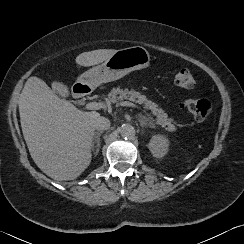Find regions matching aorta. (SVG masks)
<instances>
[{
	"label": "aorta",
	"instance_id": "1",
	"mask_svg": "<svg viewBox=\"0 0 244 244\" xmlns=\"http://www.w3.org/2000/svg\"><path fill=\"white\" fill-rule=\"evenodd\" d=\"M119 132L123 138H130L135 135V129L130 124H124L119 128Z\"/></svg>",
	"mask_w": 244,
	"mask_h": 244
}]
</instances>
